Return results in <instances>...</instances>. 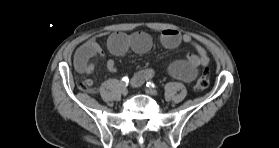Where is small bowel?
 <instances>
[{
  "instance_id": "small-bowel-1",
  "label": "small bowel",
  "mask_w": 279,
  "mask_h": 148,
  "mask_svg": "<svg viewBox=\"0 0 279 148\" xmlns=\"http://www.w3.org/2000/svg\"><path fill=\"white\" fill-rule=\"evenodd\" d=\"M160 39L162 44L169 49L176 48L183 42L193 46L196 51V53H189L185 59L175 61L169 65L168 72L175 78L190 82L196 77L199 67L208 65L210 61L206 49L197 43L190 34L182 35L178 30L165 29L162 31ZM151 45L150 35L143 31L132 34L115 32L109 36L107 41L109 51L115 56H122L129 50L136 53H145ZM101 54H103V51L97 41L91 39L83 43L75 53L76 70L81 74H92L95 68L91 60L94 56ZM106 66L111 72H115L117 69L112 59L107 61ZM153 76L154 70L152 68L142 69L134 74L131 84L133 87H139Z\"/></svg>"
}]
</instances>
